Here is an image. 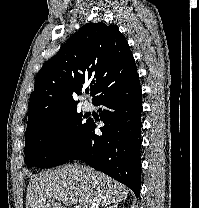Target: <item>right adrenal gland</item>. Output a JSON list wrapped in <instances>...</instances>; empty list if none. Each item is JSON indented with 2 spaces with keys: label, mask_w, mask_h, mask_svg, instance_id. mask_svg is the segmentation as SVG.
<instances>
[{
  "label": "right adrenal gland",
  "mask_w": 199,
  "mask_h": 208,
  "mask_svg": "<svg viewBox=\"0 0 199 208\" xmlns=\"http://www.w3.org/2000/svg\"><path fill=\"white\" fill-rule=\"evenodd\" d=\"M107 208H118V203H114V204L108 205Z\"/></svg>",
  "instance_id": "obj_1"
}]
</instances>
